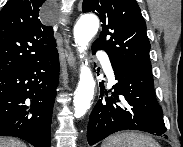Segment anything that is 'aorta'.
Listing matches in <instances>:
<instances>
[{
	"label": "aorta",
	"mask_w": 183,
	"mask_h": 147,
	"mask_svg": "<svg viewBox=\"0 0 183 147\" xmlns=\"http://www.w3.org/2000/svg\"><path fill=\"white\" fill-rule=\"evenodd\" d=\"M99 28V20L92 14H85L79 18L74 27V40L80 52V58L84 57L90 40L95 36ZM95 80L87 62L80 69V80L74 92V116L83 117L90 108L94 96Z\"/></svg>",
	"instance_id": "1"
}]
</instances>
